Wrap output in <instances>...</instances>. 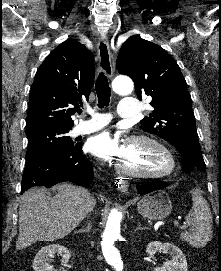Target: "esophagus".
Masks as SVG:
<instances>
[{
    "mask_svg": "<svg viewBox=\"0 0 221 271\" xmlns=\"http://www.w3.org/2000/svg\"><path fill=\"white\" fill-rule=\"evenodd\" d=\"M98 50V68L101 72L105 73L106 77L111 78L113 75L111 64V53L108 38L106 35L102 36L97 43ZM120 190L127 191L128 182L124 178L119 179Z\"/></svg>",
    "mask_w": 221,
    "mask_h": 271,
    "instance_id": "obj_1",
    "label": "esophagus"
}]
</instances>
